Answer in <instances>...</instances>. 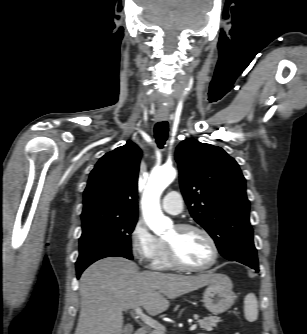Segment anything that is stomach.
Masks as SVG:
<instances>
[{"mask_svg":"<svg viewBox=\"0 0 307 334\" xmlns=\"http://www.w3.org/2000/svg\"><path fill=\"white\" fill-rule=\"evenodd\" d=\"M215 281L207 286L203 293L205 307L215 315L226 312L235 302L233 284L224 274H214Z\"/></svg>","mask_w":307,"mask_h":334,"instance_id":"stomach-1","label":"stomach"}]
</instances>
